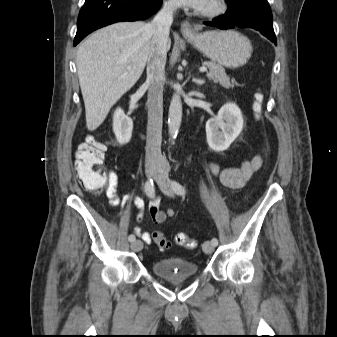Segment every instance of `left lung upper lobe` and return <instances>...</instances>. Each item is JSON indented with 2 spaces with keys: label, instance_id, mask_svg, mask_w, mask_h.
<instances>
[{
  "label": "left lung upper lobe",
  "instance_id": "left-lung-upper-lobe-1",
  "mask_svg": "<svg viewBox=\"0 0 337 337\" xmlns=\"http://www.w3.org/2000/svg\"><path fill=\"white\" fill-rule=\"evenodd\" d=\"M239 1H241V0H226L228 6H231V5H233L235 2H239Z\"/></svg>",
  "mask_w": 337,
  "mask_h": 337
}]
</instances>
